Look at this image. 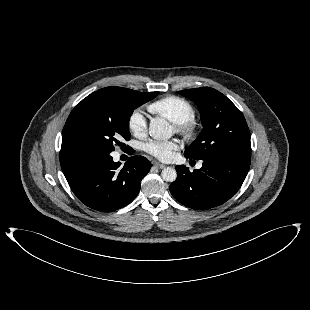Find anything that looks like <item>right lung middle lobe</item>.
<instances>
[{"mask_svg": "<svg viewBox=\"0 0 310 310\" xmlns=\"http://www.w3.org/2000/svg\"><path fill=\"white\" fill-rule=\"evenodd\" d=\"M159 92L133 94L116 87L93 92L70 113L62 132L61 149L71 147L109 148L125 146L130 139L129 120L133 110L155 98Z\"/></svg>", "mask_w": 310, "mask_h": 310, "instance_id": "obj_1", "label": "right lung middle lobe"}]
</instances>
